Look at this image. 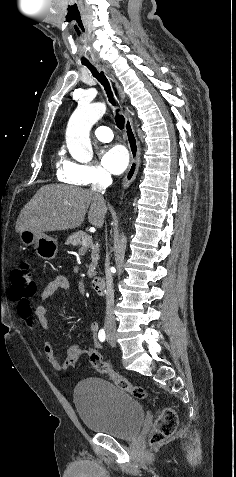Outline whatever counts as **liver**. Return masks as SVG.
I'll return each instance as SVG.
<instances>
[{
    "mask_svg": "<svg viewBox=\"0 0 236 477\" xmlns=\"http://www.w3.org/2000/svg\"><path fill=\"white\" fill-rule=\"evenodd\" d=\"M88 208V221L101 228L107 212L102 197L75 186L45 185L21 210L15 229L17 233L29 230L43 234L77 228L83 223Z\"/></svg>",
    "mask_w": 236,
    "mask_h": 477,
    "instance_id": "6515ba94",
    "label": "liver"
}]
</instances>
